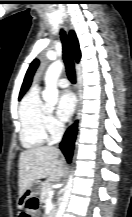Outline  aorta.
Listing matches in <instances>:
<instances>
[{
    "label": "aorta",
    "mask_w": 132,
    "mask_h": 217,
    "mask_svg": "<svg viewBox=\"0 0 132 217\" xmlns=\"http://www.w3.org/2000/svg\"><path fill=\"white\" fill-rule=\"evenodd\" d=\"M63 67L64 64L60 60H57L53 62L46 71L45 78H44L45 90L42 93V97L46 105L49 107L55 106L58 102L57 81L61 75ZM67 203H68V198H63V200L60 203V207L56 217L63 216Z\"/></svg>",
    "instance_id": "1"
}]
</instances>
